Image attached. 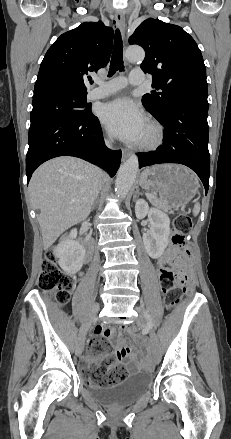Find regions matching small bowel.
I'll return each instance as SVG.
<instances>
[{"mask_svg": "<svg viewBox=\"0 0 231 439\" xmlns=\"http://www.w3.org/2000/svg\"><path fill=\"white\" fill-rule=\"evenodd\" d=\"M175 259V250L173 248L168 249L166 252L165 258L162 259L159 263L164 261L173 262ZM95 338L106 337L111 341H115L118 337V331L116 329L110 328L107 329L105 327L99 326L96 328ZM109 359L111 364L109 367L113 365H125L129 368V370L135 372L137 370V364L135 362V355L132 351V348L124 345V344H115L114 352L109 357H100L95 358L91 355H87L85 359L86 367L88 369L95 368L102 361Z\"/></svg>", "mask_w": 231, "mask_h": 439, "instance_id": "c3829d8e", "label": "small bowel"}]
</instances>
